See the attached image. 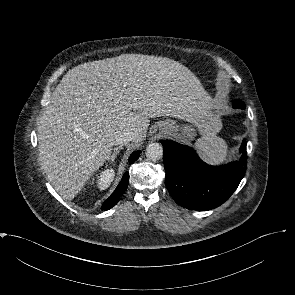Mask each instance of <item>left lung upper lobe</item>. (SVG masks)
I'll list each match as a JSON object with an SVG mask.
<instances>
[{
	"label": "left lung upper lobe",
	"instance_id": "1",
	"mask_svg": "<svg viewBox=\"0 0 295 295\" xmlns=\"http://www.w3.org/2000/svg\"><path fill=\"white\" fill-rule=\"evenodd\" d=\"M237 104L240 105L239 108H241V109H245V104H244L242 101H240V100H235L234 103H233V106H236Z\"/></svg>",
	"mask_w": 295,
	"mask_h": 295
}]
</instances>
